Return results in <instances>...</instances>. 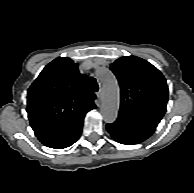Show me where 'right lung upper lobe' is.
Here are the masks:
<instances>
[{"mask_svg":"<svg viewBox=\"0 0 194 193\" xmlns=\"http://www.w3.org/2000/svg\"><path fill=\"white\" fill-rule=\"evenodd\" d=\"M86 79L67 57L56 58L42 70L27 93L28 117L38 138L66 129L96 108Z\"/></svg>","mask_w":194,"mask_h":193,"instance_id":"right-lung-upper-lobe-1","label":"right lung upper lobe"}]
</instances>
